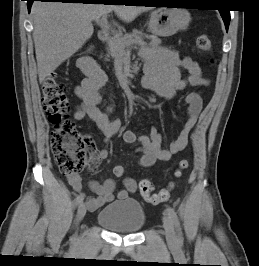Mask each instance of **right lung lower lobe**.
I'll use <instances>...</instances> for the list:
<instances>
[{
    "label": "right lung lower lobe",
    "mask_w": 259,
    "mask_h": 266,
    "mask_svg": "<svg viewBox=\"0 0 259 266\" xmlns=\"http://www.w3.org/2000/svg\"><path fill=\"white\" fill-rule=\"evenodd\" d=\"M27 1V7L28 12L31 10L32 3L34 1H42V2H62V3H68V2H79L84 4H100V3H119V2H108V1H116V0H26Z\"/></svg>",
    "instance_id": "98d812e1"
}]
</instances>
